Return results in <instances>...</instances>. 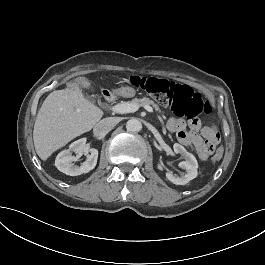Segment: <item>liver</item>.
<instances>
[{
  "label": "liver",
  "instance_id": "1",
  "mask_svg": "<svg viewBox=\"0 0 265 265\" xmlns=\"http://www.w3.org/2000/svg\"><path fill=\"white\" fill-rule=\"evenodd\" d=\"M103 115L102 110L84 98L79 85L50 93L44 100L34 124L33 141L42 160L69 141L90 131Z\"/></svg>",
  "mask_w": 265,
  "mask_h": 265
}]
</instances>
